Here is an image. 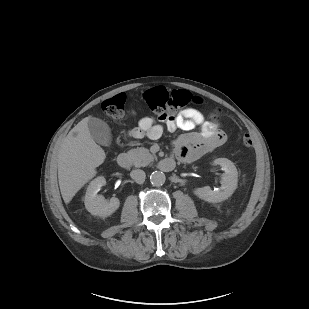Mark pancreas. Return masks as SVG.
I'll list each match as a JSON object with an SVG mask.
<instances>
[{
    "label": "pancreas",
    "instance_id": "pancreas-1",
    "mask_svg": "<svg viewBox=\"0 0 309 309\" xmlns=\"http://www.w3.org/2000/svg\"><path fill=\"white\" fill-rule=\"evenodd\" d=\"M128 155L135 167H145L154 161V156L143 147L129 150Z\"/></svg>",
    "mask_w": 309,
    "mask_h": 309
}]
</instances>
